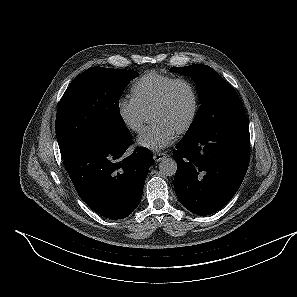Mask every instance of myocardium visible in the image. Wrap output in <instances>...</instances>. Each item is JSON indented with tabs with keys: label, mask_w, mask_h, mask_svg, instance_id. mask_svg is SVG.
<instances>
[{
	"label": "myocardium",
	"mask_w": 297,
	"mask_h": 297,
	"mask_svg": "<svg viewBox=\"0 0 297 297\" xmlns=\"http://www.w3.org/2000/svg\"><path fill=\"white\" fill-rule=\"evenodd\" d=\"M178 84L185 85L189 89L190 94H191V98H192V109H191V113L189 115V118L184 123V125L176 132L177 136H181V135L186 134L192 128V126L194 125V123H195V121L197 119L198 112H199V96H198L196 87L194 86V84L190 80H188L186 78H182V77L173 79L164 88V90L162 91L160 97L155 102V104L152 106L149 113L151 115V113H153L154 111L164 107L167 104V102H168V100L170 98L172 90Z\"/></svg>",
	"instance_id": "myocardium-1"
}]
</instances>
